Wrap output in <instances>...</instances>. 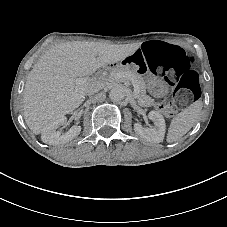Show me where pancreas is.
<instances>
[{
	"label": "pancreas",
	"mask_w": 227,
	"mask_h": 227,
	"mask_svg": "<svg viewBox=\"0 0 227 227\" xmlns=\"http://www.w3.org/2000/svg\"><path fill=\"white\" fill-rule=\"evenodd\" d=\"M124 73H127V77H131L133 76V78L135 79L136 83L138 84V94H137V100L140 103L141 106H148L149 104H151V102H153V99L147 95V91H146V82L143 79V77L130 70L127 69L125 67H116L111 69L108 73H103L101 76L98 77V79L106 86H108V82L114 81L119 79L118 75Z\"/></svg>",
	"instance_id": "pancreas-1"
}]
</instances>
